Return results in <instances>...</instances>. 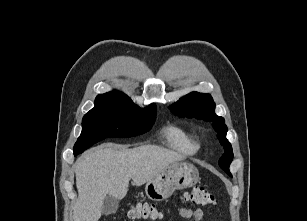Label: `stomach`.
Instances as JSON below:
<instances>
[{
    "instance_id": "stomach-1",
    "label": "stomach",
    "mask_w": 307,
    "mask_h": 221,
    "mask_svg": "<svg viewBox=\"0 0 307 221\" xmlns=\"http://www.w3.org/2000/svg\"><path fill=\"white\" fill-rule=\"evenodd\" d=\"M199 180L197 168L187 162L170 164L146 183L145 193L154 201L167 199L176 190L194 186Z\"/></svg>"
}]
</instances>
